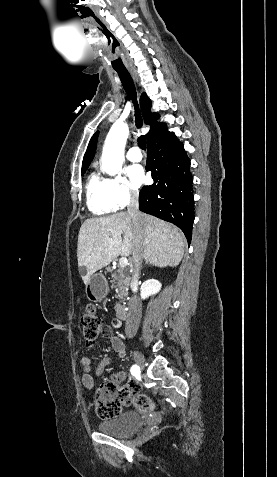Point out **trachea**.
Listing matches in <instances>:
<instances>
[{
  "label": "trachea",
  "instance_id": "trachea-1",
  "mask_svg": "<svg viewBox=\"0 0 277 477\" xmlns=\"http://www.w3.org/2000/svg\"><path fill=\"white\" fill-rule=\"evenodd\" d=\"M118 76L122 82V85L127 92L129 98L132 100L135 106V122L136 126L138 129L142 128V119L140 117V113L138 110V105H137V94H136V88L133 82V79L129 72L127 70L124 71H117ZM138 145L142 150H146V137L144 135H141L138 137Z\"/></svg>",
  "mask_w": 277,
  "mask_h": 477
}]
</instances>
